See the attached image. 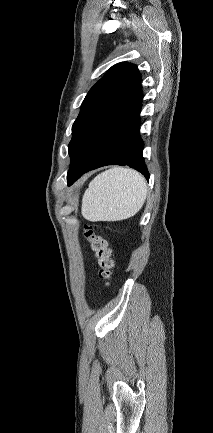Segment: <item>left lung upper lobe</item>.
Returning <instances> with one entry per match:
<instances>
[{
  "instance_id": "obj_1",
  "label": "left lung upper lobe",
  "mask_w": 213,
  "mask_h": 433,
  "mask_svg": "<svg viewBox=\"0 0 213 433\" xmlns=\"http://www.w3.org/2000/svg\"><path fill=\"white\" fill-rule=\"evenodd\" d=\"M141 93L140 72L127 62L112 66L90 89L72 126L67 181L92 160Z\"/></svg>"
}]
</instances>
